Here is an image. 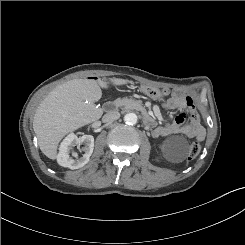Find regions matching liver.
Instances as JSON below:
<instances>
[{"label":"liver","instance_id":"6515ba94","mask_svg":"<svg viewBox=\"0 0 245 245\" xmlns=\"http://www.w3.org/2000/svg\"><path fill=\"white\" fill-rule=\"evenodd\" d=\"M125 85L129 80L73 79L54 88L37 107L33 130L40 150L50 159L57 158L59 142L70 132L101 118L103 111L95 102L102 97L101 88Z\"/></svg>","mask_w":245,"mask_h":245}]
</instances>
